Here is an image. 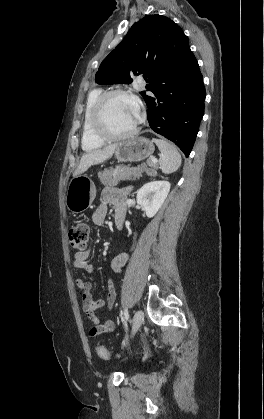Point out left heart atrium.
<instances>
[{"instance_id":"39dd6f15","label":"left heart atrium","mask_w":264,"mask_h":419,"mask_svg":"<svg viewBox=\"0 0 264 419\" xmlns=\"http://www.w3.org/2000/svg\"><path fill=\"white\" fill-rule=\"evenodd\" d=\"M135 115H136V119L138 121L141 117V112H140V107L136 102H135Z\"/></svg>"}]
</instances>
